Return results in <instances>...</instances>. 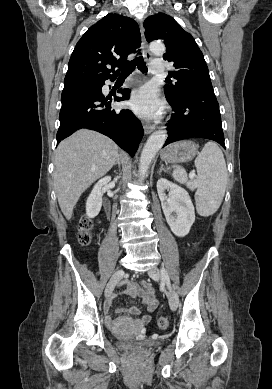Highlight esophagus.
I'll return each mask as SVG.
<instances>
[{
  "instance_id": "esophagus-1",
  "label": "esophagus",
  "mask_w": 272,
  "mask_h": 389,
  "mask_svg": "<svg viewBox=\"0 0 272 389\" xmlns=\"http://www.w3.org/2000/svg\"><path fill=\"white\" fill-rule=\"evenodd\" d=\"M141 38H142L141 47H142V50H143L144 57H145L146 60H150L151 59V54H150V51H149V47H148L147 41L145 39L144 28L142 26H141ZM143 128L145 130V133L149 134V133H151L155 129V125L144 123Z\"/></svg>"
}]
</instances>
